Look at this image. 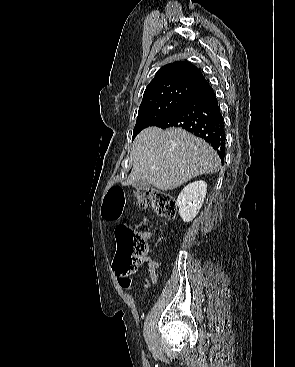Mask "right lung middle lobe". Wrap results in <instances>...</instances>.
Wrapping results in <instances>:
<instances>
[{
  "label": "right lung middle lobe",
  "instance_id": "obj_1",
  "mask_svg": "<svg viewBox=\"0 0 295 367\" xmlns=\"http://www.w3.org/2000/svg\"><path fill=\"white\" fill-rule=\"evenodd\" d=\"M193 93L194 91L190 89L175 87L143 97L133 131V139L144 128L155 126L169 116Z\"/></svg>",
  "mask_w": 295,
  "mask_h": 367
}]
</instances>
